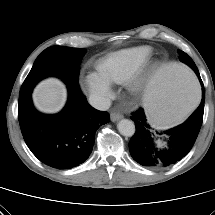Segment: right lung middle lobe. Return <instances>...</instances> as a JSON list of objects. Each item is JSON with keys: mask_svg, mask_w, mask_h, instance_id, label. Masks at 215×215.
Instances as JSON below:
<instances>
[{"mask_svg": "<svg viewBox=\"0 0 215 215\" xmlns=\"http://www.w3.org/2000/svg\"><path fill=\"white\" fill-rule=\"evenodd\" d=\"M85 50L52 46L45 49L35 60L31 71L26 77L19 94L18 119L23 118L30 111L31 92L41 79L56 76L66 84L78 82L80 62Z\"/></svg>", "mask_w": 215, "mask_h": 215, "instance_id": "obj_1", "label": "right lung middle lobe"}]
</instances>
